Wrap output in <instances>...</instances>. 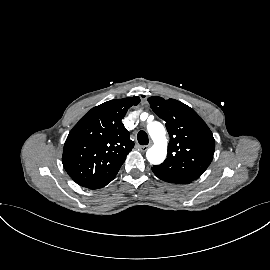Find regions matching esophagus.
<instances>
[{"mask_svg": "<svg viewBox=\"0 0 270 270\" xmlns=\"http://www.w3.org/2000/svg\"><path fill=\"white\" fill-rule=\"evenodd\" d=\"M149 147H150V145H144V146H140L139 149H140L142 152H145Z\"/></svg>", "mask_w": 270, "mask_h": 270, "instance_id": "obj_1", "label": "esophagus"}]
</instances>
